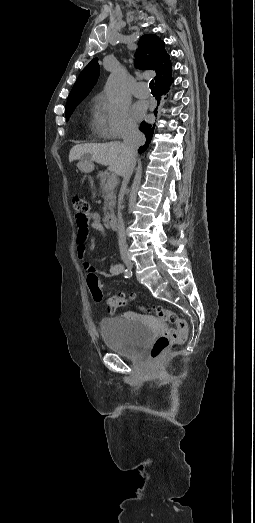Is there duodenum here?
Returning <instances> with one entry per match:
<instances>
[{"label":"duodenum","mask_w":255,"mask_h":523,"mask_svg":"<svg viewBox=\"0 0 255 523\" xmlns=\"http://www.w3.org/2000/svg\"><path fill=\"white\" fill-rule=\"evenodd\" d=\"M106 225L111 229L115 230L117 228V218L113 214H109L105 218Z\"/></svg>","instance_id":"duodenum-1"}]
</instances>
